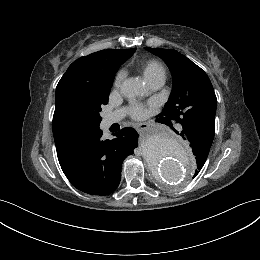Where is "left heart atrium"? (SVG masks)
<instances>
[{"label": "left heart atrium", "instance_id": "obj_1", "mask_svg": "<svg viewBox=\"0 0 260 260\" xmlns=\"http://www.w3.org/2000/svg\"><path fill=\"white\" fill-rule=\"evenodd\" d=\"M131 115L135 119H142L147 115V110L142 105H135L131 110Z\"/></svg>", "mask_w": 260, "mask_h": 260}]
</instances>
